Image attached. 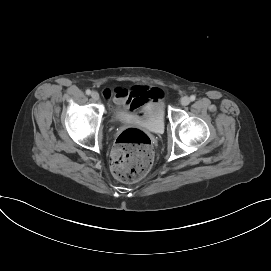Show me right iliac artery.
Masks as SVG:
<instances>
[{"instance_id": "1", "label": "right iliac artery", "mask_w": 271, "mask_h": 271, "mask_svg": "<svg viewBox=\"0 0 271 271\" xmlns=\"http://www.w3.org/2000/svg\"><path fill=\"white\" fill-rule=\"evenodd\" d=\"M86 94H87V95H90V94H91V90L87 89V90H86Z\"/></svg>"}]
</instances>
